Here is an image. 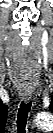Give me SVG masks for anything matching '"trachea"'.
<instances>
[{"label":"trachea","instance_id":"3493384b","mask_svg":"<svg viewBox=\"0 0 53 133\" xmlns=\"http://www.w3.org/2000/svg\"><path fill=\"white\" fill-rule=\"evenodd\" d=\"M31 105H32L31 102L28 103L21 102L20 104L16 121L18 133H26L27 118H28V113L31 109Z\"/></svg>","mask_w":53,"mask_h":133}]
</instances>
